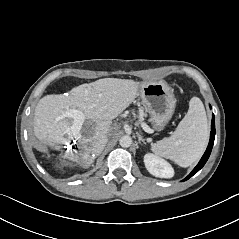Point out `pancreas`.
Listing matches in <instances>:
<instances>
[{
  "mask_svg": "<svg viewBox=\"0 0 239 239\" xmlns=\"http://www.w3.org/2000/svg\"><path fill=\"white\" fill-rule=\"evenodd\" d=\"M144 116H146V114L141 110V111H140V117L142 118V117H144Z\"/></svg>",
  "mask_w": 239,
  "mask_h": 239,
  "instance_id": "pancreas-1",
  "label": "pancreas"
}]
</instances>
